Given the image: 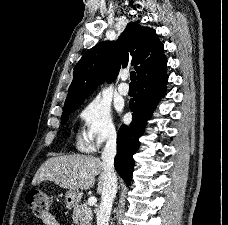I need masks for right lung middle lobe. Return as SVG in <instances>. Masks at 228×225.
Listing matches in <instances>:
<instances>
[{
    "label": "right lung middle lobe",
    "mask_w": 228,
    "mask_h": 225,
    "mask_svg": "<svg viewBox=\"0 0 228 225\" xmlns=\"http://www.w3.org/2000/svg\"><path fill=\"white\" fill-rule=\"evenodd\" d=\"M82 103H78V104H73L67 107H64V111L62 113V124H64L67 120H68V116L74 112Z\"/></svg>",
    "instance_id": "dd1d6c3e"
}]
</instances>
